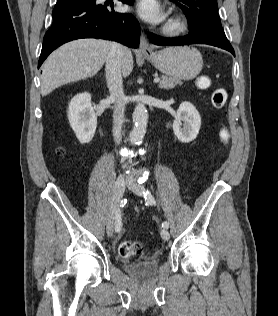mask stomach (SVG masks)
I'll return each instance as SVG.
<instances>
[{
	"instance_id": "obj_1",
	"label": "stomach",
	"mask_w": 278,
	"mask_h": 316,
	"mask_svg": "<svg viewBox=\"0 0 278 316\" xmlns=\"http://www.w3.org/2000/svg\"><path fill=\"white\" fill-rule=\"evenodd\" d=\"M159 71L180 80H192L201 71V53L191 47H169L145 56Z\"/></svg>"
}]
</instances>
